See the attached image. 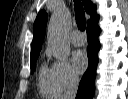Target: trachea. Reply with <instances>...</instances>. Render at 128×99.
<instances>
[{
  "label": "trachea",
  "mask_w": 128,
  "mask_h": 99,
  "mask_svg": "<svg viewBox=\"0 0 128 99\" xmlns=\"http://www.w3.org/2000/svg\"><path fill=\"white\" fill-rule=\"evenodd\" d=\"M75 19L78 28L84 31L86 28V18L82 3L79 0L74 1Z\"/></svg>",
  "instance_id": "1"
}]
</instances>
